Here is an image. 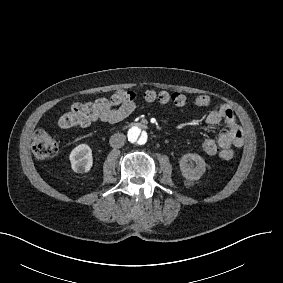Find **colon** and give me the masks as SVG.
I'll return each mask as SVG.
<instances>
[{"instance_id": "1", "label": "colon", "mask_w": 283, "mask_h": 283, "mask_svg": "<svg viewBox=\"0 0 283 283\" xmlns=\"http://www.w3.org/2000/svg\"><path fill=\"white\" fill-rule=\"evenodd\" d=\"M143 100L147 103L173 104L181 107L186 103V97L183 94H173L170 92H156L148 90L143 94ZM137 97L134 92H124L116 95L114 100L100 98L93 102L79 103L73 105L60 119L59 127L73 128L82 127L98 120L110 104L125 105L126 113L133 110ZM119 111H115L118 113ZM201 150L209 155H214L219 148L210 137L202 138L200 141ZM32 149L35 156L39 159H47L57 150V142L48 130H41L35 133L32 141Z\"/></svg>"}]
</instances>
